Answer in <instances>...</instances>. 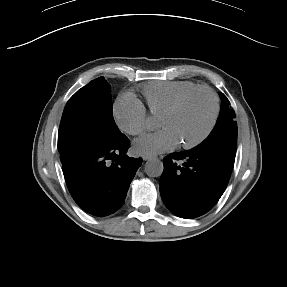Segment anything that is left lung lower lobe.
<instances>
[{"label":"left lung lower lobe","mask_w":287,"mask_h":287,"mask_svg":"<svg viewBox=\"0 0 287 287\" xmlns=\"http://www.w3.org/2000/svg\"><path fill=\"white\" fill-rule=\"evenodd\" d=\"M177 160H183L179 165ZM230 174L217 160L193 148L164 158L160 193L175 215L192 219L208 212L222 196Z\"/></svg>","instance_id":"0a47b994"}]
</instances>
